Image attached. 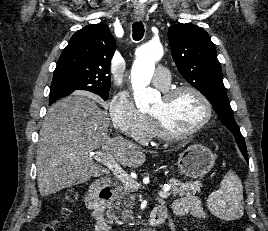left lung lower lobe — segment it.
<instances>
[{
  "instance_id": "0a47b994",
  "label": "left lung lower lobe",
  "mask_w": 268,
  "mask_h": 231,
  "mask_svg": "<svg viewBox=\"0 0 268 231\" xmlns=\"http://www.w3.org/2000/svg\"><path fill=\"white\" fill-rule=\"evenodd\" d=\"M242 154L245 157L246 161L248 162L247 150L246 151H242Z\"/></svg>"
}]
</instances>
